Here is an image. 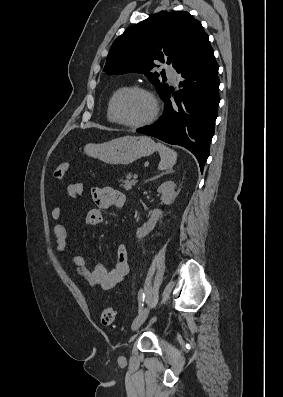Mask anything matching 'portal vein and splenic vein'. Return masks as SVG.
<instances>
[{"label":"portal vein and splenic vein","instance_id":"18ae733b","mask_svg":"<svg viewBox=\"0 0 283 397\" xmlns=\"http://www.w3.org/2000/svg\"><path fill=\"white\" fill-rule=\"evenodd\" d=\"M133 178H134V179H137V178H138V174H136V173L133 174Z\"/></svg>","mask_w":283,"mask_h":397}]
</instances>
